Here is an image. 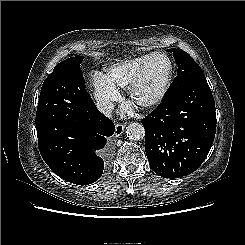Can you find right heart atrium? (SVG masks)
Instances as JSON below:
<instances>
[{
  "instance_id": "obj_1",
  "label": "right heart atrium",
  "mask_w": 245,
  "mask_h": 245,
  "mask_svg": "<svg viewBox=\"0 0 245 245\" xmlns=\"http://www.w3.org/2000/svg\"><path fill=\"white\" fill-rule=\"evenodd\" d=\"M93 85L95 89V97L104 111L113 108V104L120 98V93L116 87L111 85L106 77L101 73H95L93 76Z\"/></svg>"
}]
</instances>
